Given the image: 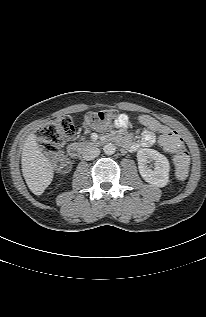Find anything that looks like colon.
<instances>
[{
    "label": "colon",
    "instance_id": "obj_1",
    "mask_svg": "<svg viewBox=\"0 0 206 317\" xmlns=\"http://www.w3.org/2000/svg\"><path fill=\"white\" fill-rule=\"evenodd\" d=\"M118 117L115 109L93 111L85 116L84 126L88 129L107 130L115 125ZM73 132L72 119L69 116H61L40 128L37 133L40 147L49 155L55 171L59 174H65L71 168V160L62 148ZM160 144L164 150L173 154L177 178L185 179L189 171L190 158L180 136L176 132H171L160 140Z\"/></svg>",
    "mask_w": 206,
    "mask_h": 317
}]
</instances>
